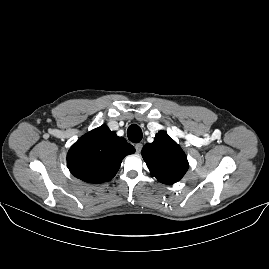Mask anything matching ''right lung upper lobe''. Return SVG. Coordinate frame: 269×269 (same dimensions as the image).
Masks as SVG:
<instances>
[{
  "label": "right lung upper lobe",
  "mask_w": 269,
  "mask_h": 269,
  "mask_svg": "<svg viewBox=\"0 0 269 269\" xmlns=\"http://www.w3.org/2000/svg\"><path fill=\"white\" fill-rule=\"evenodd\" d=\"M135 148L125 138L118 137L106 125L83 135L69 150L70 172L88 183L111 180L120 168L123 158Z\"/></svg>",
  "instance_id": "1"
}]
</instances>
